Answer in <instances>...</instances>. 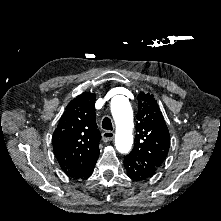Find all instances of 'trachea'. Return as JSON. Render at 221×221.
Instances as JSON below:
<instances>
[{"mask_svg":"<svg viewBox=\"0 0 221 221\" xmlns=\"http://www.w3.org/2000/svg\"><path fill=\"white\" fill-rule=\"evenodd\" d=\"M102 128L105 129V130H111L113 129V126H112V122L110 120V118L108 117H105L102 121Z\"/></svg>","mask_w":221,"mask_h":221,"instance_id":"3493384b","label":"trachea"}]
</instances>
